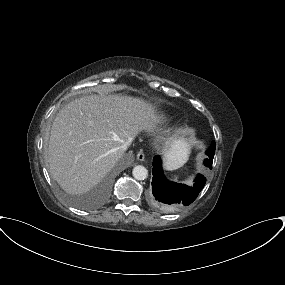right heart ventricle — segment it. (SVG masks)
Returning a JSON list of instances; mask_svg holds the SVG:
<instances>
[{
    "mask_svg": "<svg viewBox=\"0 0 285 285\" xmlns=\"http://www.w3.org/2000/svg\"><path fill=\"white\" fill-rule=\"evenodd\" d=\"M166 119V116H160V120Z\"/></svg>",
    "mask_w": 285,
    "mask_h": 285,
    "instance_id": "right-heart-ventricle-1",
    "label": "right heart ventricle"
}]
</instances>
